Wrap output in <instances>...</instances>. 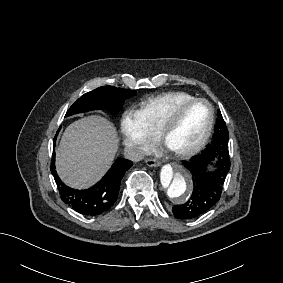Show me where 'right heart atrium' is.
<instances>
[{"instance_id":"right-heart-atrium-1","label":"right heart atrium","mask_w":283,"mask_h":283,"mask_svg":"<svg viewBox=\"0 0 283 283\" xmlns=\"http://www.w3.org/2000/svg\"><path fill=\"white\" fill-rule=\"evenodd\" d=\"M118 139L126 156L134 162L141 160L152 146L153 135L142 115L133 107H126L121 114Z\"/></svg>"}]
</instances>
